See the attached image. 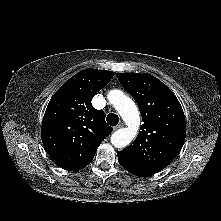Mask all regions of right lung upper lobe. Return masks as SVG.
I'll return each instance as SVG.
<instances>
[{
  "mask_svg": "<svg viewBox=\"0 0 221 221\" xmlns=\"http://www.w3.org/2000/svg\"><path fill=\"white\" fill-rule=\"evenodd\" d=\"M106 70L86 69L64 83L45 111L41 138L52 161L66 170L86 167L98 146L112 132L104 112L91 105L92 98L113 77Z\"/></svg>",
  "mask_w": 221,
  "mask_h": 221,
  "instance_id": "right-lung-upper-lobe-1",
  "label": "right lung upper lobe"
}]
</instances>
